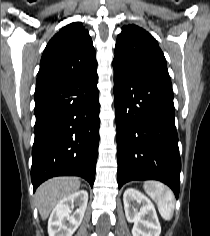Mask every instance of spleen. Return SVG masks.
<instances>
[{"mask_svg":"<svg viewBox=\"0 0 210 236\" xmlns=\"http://www.w3.org/2000/svg\"><path fill=\"white\" fill-rule=\"evenodd\" d=\"M144 189L157 204L159 213L163 219L169 221L173 217L175 208L173 192L158 181L145 182Z\"/></svg>","mask_w":210,"mask_h":236,"instance_id":"obj_1","label":"spleen"}]
</instances>
